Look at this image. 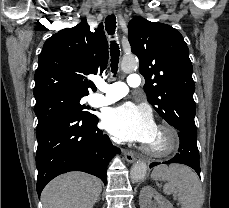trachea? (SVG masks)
I'll use <instances>...</instances> for the list:
<instances>
[{"label": "trachea", "instance_id": "1", "mask_svg": "<svg viewBox=\"0 0 229 208\" xmlns=\"http://www.w3.org/2000/svg\"><path fill=\"white\" fill-rule=\"evenodd\" d=\"M105 28L109 35H114L116 30V17L114 13H111V15H108L105 19ZM110 56H111V71L116 75L118 71V63H119V57H120V49L118 46V43L115 41H112L110 44Z\"/></svg>", "mask_w": 229, "mask_h": 208}]
</instances>
